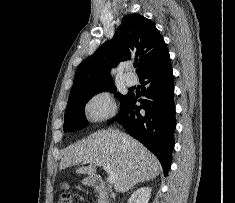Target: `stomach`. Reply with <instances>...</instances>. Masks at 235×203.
Listing matches in <instances>:
<instances>
[{
  "label": "stomach",
  "instance_id": "1",
  "mask_svg": "<svg viewBox=\"0 0 235 203\" xmlns=\"http://www.w3.org/2000/svg\"><path fill=\"white\" fill-rule=\"evenodd\" d=\"M94 177L93 176H88L87 178H85L83 181H82V183L84 184V185H88V186H90V185H93L94 184Z\"/></svg>",
  "mask_w": 235,
  "mask_h": 203
}]
</instances>
